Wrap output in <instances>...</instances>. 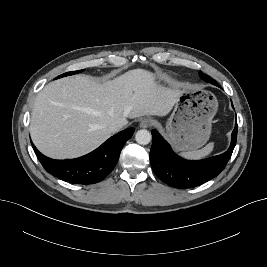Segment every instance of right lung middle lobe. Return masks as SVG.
<instances>
[{"label": "right lung middle lobe", "instance_id": "1", "mask_svg": "<svg viewBox=\"0 0 267 267\" xmlns=\"http://www.w3.org/2000/svg\"><path fill=\"white\" fill-rule=\"evenodd\" d=\"M82 70H78V71H72V72H67V73H64L58 77H56L55 79H58V78H61V77H65V76H68V75H73V74H77V73H80Z\"/></svg>", "mask_w": 267, "mask_h": 267}]
</instances>
